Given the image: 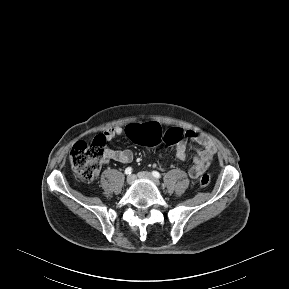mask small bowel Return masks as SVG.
<instances>
[{
	"label": "small bowel",
	"instance_id": "c3829d8e",
	"mask_svg": "<svg viewBox=\"0 0 289 289\" xmlns=\"http://www.w3.org/2000/svg\"><path fill=\"white\" fill-rule=\"evenodd\" d=\"M122 133L123 128L120 126H115L105 130L101 136L105 141H111L113 138L121 135ZM189 141H192L200 146V149L197 150L193 156V165L189 169V176L195 179L209 168L216 153V146L207 136L199 134L193 130H187L184 138L176 145V156L179 160H186ZM133 158L134 154L130 149L116 150L108 148L105 150L103 163H108L111 160L121 163H130L132 162Z\"/></svg>",
	"mask_w": 289,
	"mask_h": 289
}]
</instances>
